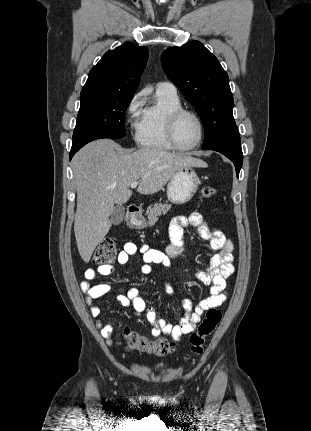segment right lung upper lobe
<instances>
[{
  "label": "right lung upper lobe",
  "mask_w": 311,
  "mask_h": 431,
  "mask_svg": "<svg viewBox=\"0 0 311 431\" xmlns=\"http://www.w3.org/2000/svg\"><path fill=\"white\" fill-rule=\"evenodd\" d=\"M147 60V47L126 42L104 54L89 72L81 92L105 91L134 95Z\"/></svg>",
  "instance_id": "cb5924a9"
}]
</instances>
